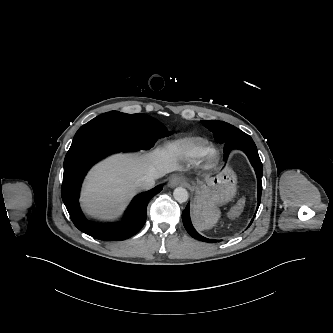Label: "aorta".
<instances>
[{
	"label": "aorta",
	"instance_id": "762f6f07",
	"mask_svg": "<svg viewBox=\"0 0 333 333\" xmlns=\"http://www.w3.org/2000/svg\"><path fill=\"white\" fill-rule=\"evenodd\" d=\"M173 196L175 200L179 203H184L188 200V192L183 187H177L173 191Z\"/></svg>",
	"mask_w": 333,
	"mask_h": 333
}]
</instances>
